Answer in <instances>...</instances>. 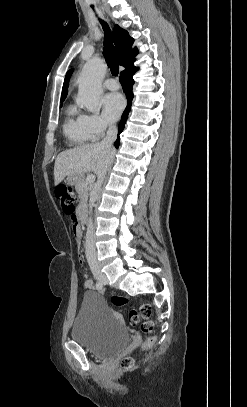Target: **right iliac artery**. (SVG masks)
<instances>
[{
    "mask_svg": "<svg viewBox=\"0 0 247 407\" xmlns=\"http://www.w3.org/2000/svg\"><path fill=\"white\" fill-rule=\"evenodd\" d=\"M96 288H97V290L101 291V290L103 289L102 283H101V282H97V283H96Z\"/></svg>",
    "mask_w": 247,
    "mask_h": 407,
    "instance_id": "1",
    "label": "right iliac artery"
}]
</instances>
